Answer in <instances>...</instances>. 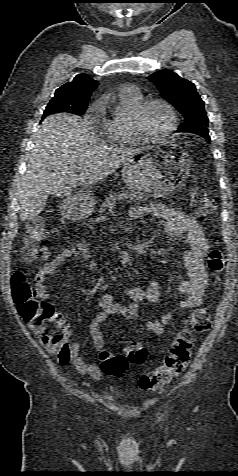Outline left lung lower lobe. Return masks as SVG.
I'll return each instance as SVG.
<instances>
[{"label": "left lung lower lobe", "instance_id": "1", "mask_svg": "<svg viewBox=\"0 0 238 476\" xmlns=\"http://www.w3.org/2000/svg\"><path fill=\"white\" fill-rule=\"evenodd\" d=\"M199 135H201L202 137L206 138L208 140V142L210 141V137H209V134L207 132H202V133H198Z\"/></svg>", "mask_w": 238, "mask_h": 476}]
</instances>
